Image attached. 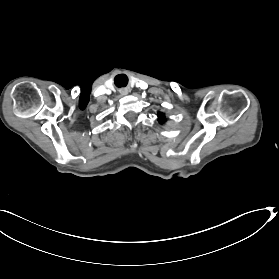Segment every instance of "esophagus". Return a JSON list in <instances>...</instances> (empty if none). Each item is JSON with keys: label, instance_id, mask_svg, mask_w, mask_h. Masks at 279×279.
Listing matches in <instances>:
<instances>
[{"label": "esophagus", "instance_id": "1", "mask_svg": "<svg viewBox=\"0 0 279 279\" xmlns=\"http://www.w3.org/2000/svg\"><path fill=\"white\" fill-rule=\"evenodd\" d=\"M120 92H121V93L125 92V94H127V93H128V90H127V89H121Z\"/></svg>", "mask_w": 279, "mask_h": 279}]
</instances>
